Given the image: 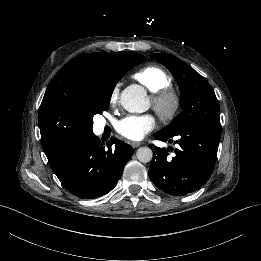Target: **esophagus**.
Wrapping results in <instances>:
<instances>
[{
	"label": "esophagus",
	"instance_id": "34e87169",
	"mask_svg": "<svg viewBox=\"0 0 261 261\" xmlns=\"http://www.w3.org/2000/svg\"><path fill=\"white\" fill-rule=\"evenodd\" d=\"M131 145L133 148H137L141 145V142H132Z\"/></svg>",
	"mask_w": 261,
	"mask_h": 261
}]
</instances>
